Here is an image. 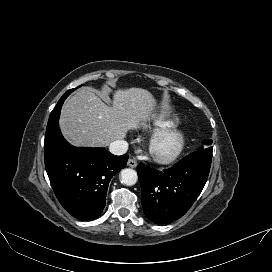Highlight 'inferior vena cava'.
Listing matches in <instances>:
<instances>
[{"instance_id":"1","label":"inferior vena cava","mask_w":272,"mask_h":272,"mask_svg":"<svg viewBox=\"0 0 272 272\" xmlns=\"http://www.w3.org/2000/svg\"><path fill=\"white\" fill-rule=\"evenodd\" d=\"M127 150L128 143L124 140H115L109 145V151L114 155H123Z\"/></svg>"}]
</instances>
